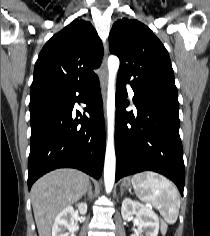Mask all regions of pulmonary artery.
I'll use <instances>...</instances> for the list:
<instances>
[{
    "label": "pulmonary artery",
    "instance_id": "1",
    "mask_svg": "<svg viewBox=\"0 0 210 236\" xmlns=\"http://www.w3.org/2000/svg\"><path fill=\"white\" fill-rule=\"evenodd\" d=\"M128 90H129V95H130V97L133 99L134 92H133V90L131 89L130 86H128Z\"/></svg>",
    "mask_w": 210,
    "mask_h": 236
}]
</instances>
